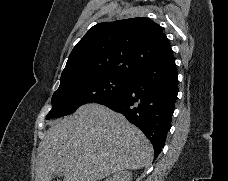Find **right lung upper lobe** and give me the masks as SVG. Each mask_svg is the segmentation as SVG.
Listing matches in <instances>:
<instances>
[{
	"mask_svg": "<svg viewBox=\"0 0 228 181\" xmlns=\"http://www.w3.org/2000/svg\"><path fill=\"white\" fill-rule=\"evenodd\" d=\"M171 53L161 27L149 18L98 23L73 48L60 86L100 75L131 77Z\"/></svg>",
	"mask_w": 228,
	"mask_h": 181,
	"instance_id": "obj_1",
	"label": "right lung upper lobe"
}]
</instances>
